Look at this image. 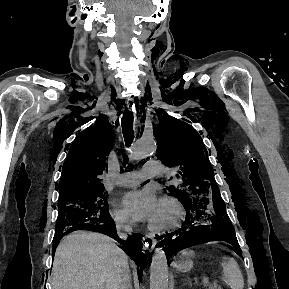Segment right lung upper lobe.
<instances>
[{"label": "right lung upper lobe", "mask_w": 289, "mask_h": 289, "mask_svg": "<svg viewBox=\"0 0 289 289\" xmlns=\"http://www.w3.org/2000/svg\"><path fill=\"white\" fill-rule=\"evenodd\" d=\"M111 128L104 116L79 134L69 149L60 183L56 186L59 197L104 188L100 176L108 167L107 156L113 145Z\"/></svg>", "instance_id": "right-lung-upper-lobe-1"}]
</instances>
